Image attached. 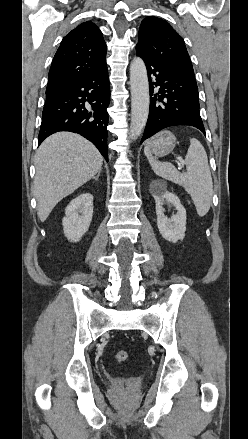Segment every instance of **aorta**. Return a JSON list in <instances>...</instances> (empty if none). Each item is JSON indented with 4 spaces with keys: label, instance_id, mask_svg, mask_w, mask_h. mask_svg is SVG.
Segmentation results:
<instances>
[{
    "label": "aorta",
    "instance_id": "762f6f07",
    "mask_svg": "<svg viewBox=\"0 0 248 439\" xmlns=\"http://www.w3.org/2000/svg\"><path fill=\"white\" fill-rule=\"evenodd\" d=\"M131 126L129 138L137 139L146 125L149 114V84L144 61L135 57L130 64Z\"/></svg>",
    "mask_w": 248,
    "mask_h": 439
}]
</instances>
